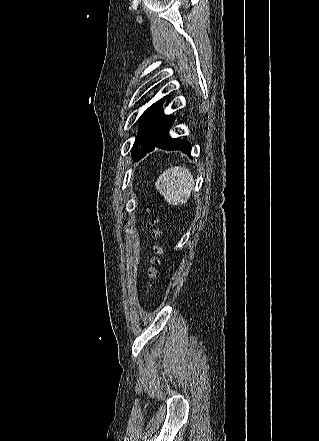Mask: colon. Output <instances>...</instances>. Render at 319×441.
Returning <instances> with one entry per match:
<instances>
[{
	"label": "colon",
	"instance_id": "colon-1",
	"mask_svg": "<svg viewBox=\"0 0 319 441\" xmlns=\"http://www.w3.org/2000/svg\"><path fill=\"white\" fill-rule=\"evenodd\" d=\"M147 214L150 210L147 209ZM157 218L150 216L147 219V227L151 230V235L153 239V254L150 259L149 267L147 269V286L151 285V282L158 278L159 271L158 266L160 264V256L163 253L162 247L160 246V238L162 236V231L157 227Z\"/></svg>",
	"mask_w": 319,
	"mask_h": 441
}]
</instances>
